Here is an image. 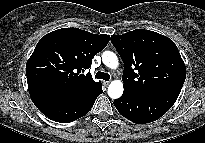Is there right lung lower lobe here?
I'll use <instances>...</instances> for the list:
<instances>
[{"label":"right lung lower lobe","mask_w":205,"mask_h":143,"mask_svg":"<svg viewBox=\"0 0 205 143\" xmlns=\"http://www.w3.org/2000/svg\"><path fill=\"white\" fill-rule=\"evenodd\" d=\"M101 93L102 85L99 82L96 86L70 98L54 99L43 96H31V98L36 107L48 118L56 122L69 123L86 115Z\"/></svg>","instance_id":"1"}]
</instances>
